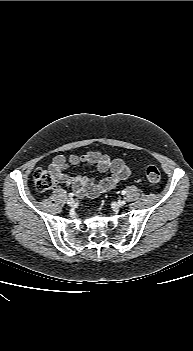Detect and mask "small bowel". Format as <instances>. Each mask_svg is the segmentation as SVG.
<instances>
[{"label":"small bowel","instance_id":"obj_1","mask_svg":"<svg viewBox=\"0 0 193 351\" xmlns=\"http://www.w3.org/2000/svg\"><path fill=\"white\" fill-rule=\"evenodd\" d=\"M86 164L95 166L98 171L110 175L96 182L93 178L67 175L64 170L70 165ZM56 183L72 186L74 191L86 197L95 198L116 188L131 174V168L120 158L112 159L107 154L90 151L86 154L58 155L49 166Z\"/></svg>","mask_w":193,"mask_h":351}]
</instances>
